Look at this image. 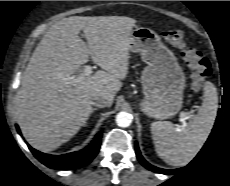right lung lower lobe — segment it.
<instances>
[{
	"label": "right lung lower lobe",
	"instance_id": "right-lung-lower-lobe-1",
	"mask_svg": "<svg viewBox=\"0 0 230 186\" xmlns=\"http://www.w3.org/2000/svg\"><path fill=\"white\" fill-rule=\"evenodd\" d=\"M18 133L20 130L17 127ZM102 132L98 133L92 143L85 149L64 155H49L39 152L29 146L34 156L44 165L57 170L75 169L87 165L99 151Z\"/></svg>",
	"mask_w": 230,
	"mask_h": 186
}]
</instances>
